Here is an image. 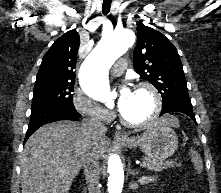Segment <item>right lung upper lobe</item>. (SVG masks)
<instances>
[{
    "mask_svg": "<svg viewBox=\"0 0 221 193\" xmlns=\"http://www.w3.org/2000/svg\"><path fill=\"white\" fill-rule=\"evenodd\" d=\"M80 37L75 29L57 39L44 55L35 84L75 81V69Z\"/></svg>",
    "mask_w": 221,
    "mask_h": 193,
    "instance_id": "right-lung-upper-lobe-1",
    "label": "right lung upper lobe"
}]
</instances>
